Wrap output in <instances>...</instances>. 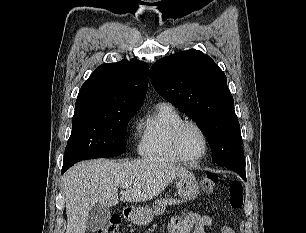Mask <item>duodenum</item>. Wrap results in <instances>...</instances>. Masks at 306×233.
Masks as SVG:
<instances>
[{"mask_svg": "<svg viewBox=\"0 0 306 233\" xmlns=\"http://www.w3.org/2000/svg\"><path fill=\"white\" fill-rule=\"evenodd\" d=\"M133 214H134V211L132 209L128 208V209L125 210V215L127 217H131Z\"/></svg>", "mask_w": 306, "mask_h": 233, "instance_id": "410a0bca", "label": "duodenum"}]
</instances>
